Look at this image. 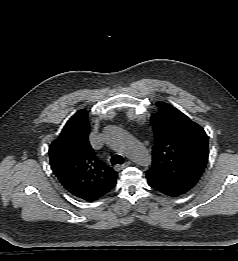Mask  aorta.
I'll use <instances>...</instances> for the list:
<instances>
[{
    "label": "aorta",
    "mask_w": 238,
    "mask_h": 261,
    "mask_svg": "<svg viewBox=\"0 0 238 261\" xmlns=\"http://www.w3.org/2000/svg\"><path fill=\"white\" fill-rule=\"evenodd\" d=\"M108 139L112 144L116 145L124 155L139 165L148 166L151 163V157L144 146L121 128L110 127L108 129Z\"/></svg>",
    "instance_id": "762f6f07"
}]
</instances>
